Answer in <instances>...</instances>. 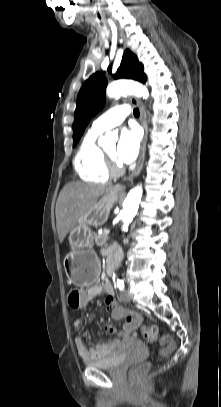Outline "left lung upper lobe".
I'll list each match as a JSON object with an SVG mask.
<instances>
[{"mask_svg":"<svg viewBox=\"0 0 221 407\" xmlns=\"http://www.w3.org/2000/svg\"><path fill=\"white\" fill-rule=\"evenodd\" d=\"M108 72L111 73V67L108 68ZM113 77L114 79L131 78L140 82L147 80L143 65L129 50L125 51L121 65ZM106 86V76L101 72H96L81 87L74 113L73 146L78 143L90 119L104 106Z\"/></svg>","mask_w":221,"mask_h":407,"instance_id":"5c2ea615","label":"left lung upper lobe"}]
</instances>
